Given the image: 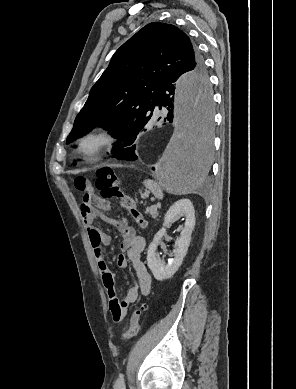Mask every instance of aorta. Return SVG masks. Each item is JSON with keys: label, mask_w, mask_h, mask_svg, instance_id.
I'll list each match as a JSON object with an SVG mask.
<instances>
[{"label": "aorta", "mask_w": 296, "mask_h": 389, "mask_svg": "<svg viewBox=\"0 0 296 389\" xmlns=\"http://www.w3.org/2000/svg\"><path fill=\"white\" fill-rule=\"evenodd\" d=\"M175 130L157 167L177 193L200 189L213 161L214 105L205 72H184L174 82Z\"/></svg>", "instance_id": "obj_1"}]
</instances>
